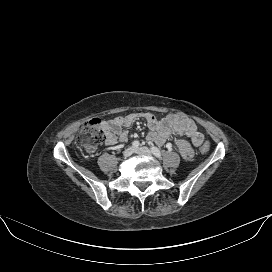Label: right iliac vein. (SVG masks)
Wrapping results in <instances>:
<instances>
[{
  "label": "right iliac vein",
  "mask_w": 272,
  "mask_h": 272,
  "mask_svg": "<svg viewBox=\"0 0 272 272\" xmlns=\"http://www.w3.org/2000/svg\"><path fill=\"white\" fill-rule=\"evenodd\" d=\"M133 152H134V149L132 147H128L123 152V155H124V157H130L133 154Z\"/></svg>",
  "instance_id": "obj_1"
}]
</instances>
